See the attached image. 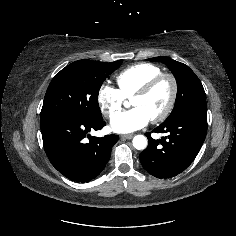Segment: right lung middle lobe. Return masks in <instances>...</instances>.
I'll return each mask as SVG.
<instances>
[{"mask_svg":"<svg viewBox=\"0 0 236 236\" xmlns=\"http://www.w3.org/2000/svg\"><path fill=\"white\" fill-rule=\"evenodd\" d=\"M122 64L87 59L63 68L51 81L45 94L40 121L56 114H72L88 120L102 118L98 93L104 80Z\"/></svg>","mask_w":236,"mask_h":236,"instance_id":"right-lung-middle-lobe-1","label":"right lung middle lobe"}]
</instances>
